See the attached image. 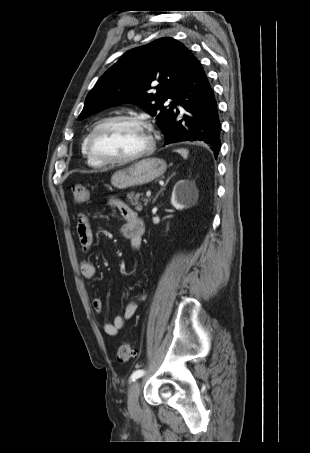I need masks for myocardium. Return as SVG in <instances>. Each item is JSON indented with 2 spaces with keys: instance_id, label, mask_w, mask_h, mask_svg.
I'll use <instances>...</instances> for the list:
<instances>
[{
  "instance_id": "obj_1",
  "label": "myocardium",
  "mask_w": 310,
  "mask_h": 453,
  "mask_svg": "<svg viewBox=\"0 0 310 453\" xmlns=\"http://www.w3.org/2000/svg\"><path fill=\"white\" fill-rule=\"evenodd\" d=\"M116 122H131L136 125L141 126L145 129L148 135V145L140 150L139 152L124 158H110L106 157L100 153H98L94 147V138L95 135L103 128L116 123ZM87 148L90 155L97 161L103 164H111V165H118V164H128L134 161H137L145 156L150 155L154 148H155V139L153 135V129L150 123H148L144 118L136 115H116L112 117L105 118L98 122L93 129L88 134L87 138Z\"/></svg>"
}]
</instances>
